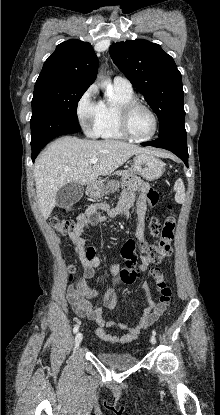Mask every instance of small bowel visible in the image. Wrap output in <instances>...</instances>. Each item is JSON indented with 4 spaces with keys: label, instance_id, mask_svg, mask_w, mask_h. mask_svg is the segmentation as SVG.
<instances>
[{
    "label": "small bowel",
    "instance_id": "obj_1",
    "mask_svg": "<svg viewBox=\"0 0 220 415\" xmlns=\"http://www.w3.org/2000/svg\"><path fill=\"white\" fill-rule=\"evenodd\" d=\"M147 192L148 185L144 181L140 179L134 180L123 190L120 200L115 207H110L105 203H97L90 205L84 213L79 214L76 217L74 230L70 233V238L74 244L76 253L82 262L83 277L68 287L66 298L79 317L87 318L98 324L99 327L96 330V334L102 340L110 343L123 344L136 340L141 332L152 325L163 313L155 311L156 303L151 297L149 286L147 283H143L142 292L146 304L139 322L131 327L124 323L118 324L117 326L120 329L125 330V333L120 336L106 332V329L116 326L115 322L106 319L103 316V308L100 306H92L88 299L101 300L104 307L110 310L114 309L117 301L115 287L119 285V280L115 279L114 287L108 288L104 293L86 285L85 280L97 278V269L102 265L103 260L97 254L94 247L87 245L86 239L83 237V232L89 226L105 222L107 217L103 212L111 219L118 215L127 217L128 210L135 206L136 236L139 240L142 253L139 269L142 272L149 270L150 262L144 254V246L146 244L145 214L147 208ZM109 270L114 276H117L119 273V267L114 262L109 263ZM151 271L159 270L152 269Z\"/></svg>",
    "mask_w": 220,
    "mask_h": 415
}]
</instances>
